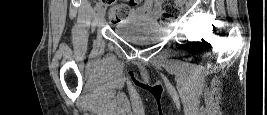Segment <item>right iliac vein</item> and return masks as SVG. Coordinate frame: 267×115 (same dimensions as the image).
<instances>
[{
    "mask_svg": "<svg viewBox=\"0 0 267 115\" xmlns=\"http://www.w3.org/2000/svg\"><path fill=\"white\" fill-rule=\"evenodd\" d=\"M104 17H105V9L104 8H100L98 10V13H97V20L99 22H102L104 20Z\"/></svg>",
    "mask_w": 267,
    "mask_h": 115,
    "instance_id": "63e3f726",
    "label": "right iliac vein"
}]
</instances>
